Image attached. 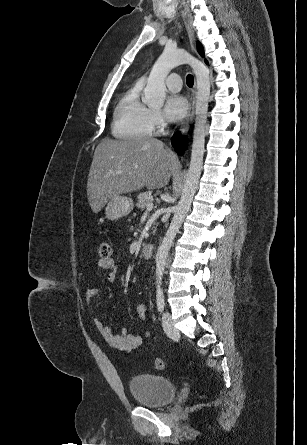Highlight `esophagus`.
<instances>
[{
    "instance_id": "34e87169",
    "label": "esophagus",
    "mask_w": 307,
    "mask_h": 445,
    "mask_svg": "<svg viewBox=\"0 0 307 445\" xmlns=\"http://www.w3.org/2000/svg\"><path fill=\"white\" fill-rule=\"evenodd\" d=\"M182 14V18L189 36V40H190V44H191V49L194 52L195 51V36H194V31L192 29L191 23L188 20L185 12L182 10L181 11ZM196 81L194 82V87L193 90L191 92V98H190V110L188 112V114L186 115V117L184 118L183 122L180 125V131L182 133H187L190 127V124L194 121V115H195V99H196Z\"/></svg>"
}]
</instances>
